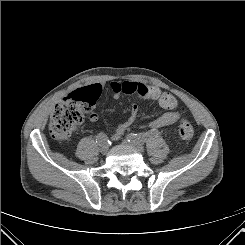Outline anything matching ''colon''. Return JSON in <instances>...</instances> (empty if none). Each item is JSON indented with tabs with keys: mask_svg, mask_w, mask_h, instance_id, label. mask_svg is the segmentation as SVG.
I'll use <instances>...</instances> for the list:
<instances>
[{
	"mask_svg": "<svg viewBox=\"0 0 245 245\" xmlns=\"http://www.w3.org/2000/svg\"><path fill=\"white\" fill-rule=\"evenodd\" d=\"M100 91L101 88L97 84L79 88L56 104L49 123L51 137L57 141L68 139L72 132L83 122L85 113L95 104ZM146 95V90H139L141 98L145 99ZM178 132L182 139L189 140L194 135V126L184 117L179 123Z\"/></svg>",
	"mask_w": 245,
	"mask_h": 245,
	"instance_id": "1",
	"label": "colon"
}]
</instances>
